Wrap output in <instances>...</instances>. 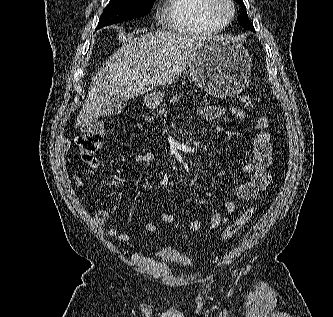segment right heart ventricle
Segmentation results:
<instances>
[{"label":"right heart ventricle","instance_id":"obj_1","mask_svg":"<svg viewBox=\"0 0 333 317\" xmlns=\"http://www.w3.org/2000/svg\"><path fill=\"white\" fill-rule=\"evenodd\" d=\"M207 3L208 0H165L161 18L170 31L190 36L215 34L225 25L208 15Z\"/></svg>","mask_w":333,"mask_h":317}]
</instances>
